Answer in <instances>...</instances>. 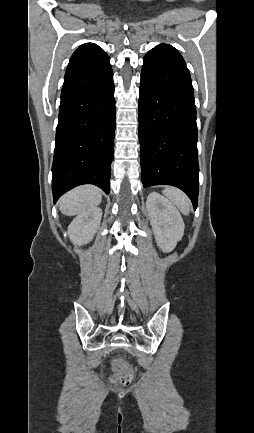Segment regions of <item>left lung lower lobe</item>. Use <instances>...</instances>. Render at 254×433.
<instances>
[{
    "mask_svg": "<svg viewBox=\"0 0 254 433\" xmlns=\"http://www.w3.org/2000/svg\"><path fill=\"white\" fill-rule=\"evenodd\" d=\"M139 142L143 187L172 185L197 207L199 165L194 91L185 65L147 53L141 72Z\"/></svg>",
    "mask_w": 254,
    "mask_h": 433,
    "instance_id": "left-lung-lower-lobe-1",
    "label": "left lung lower lobe"
}]
</instances>
